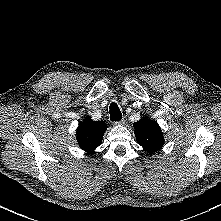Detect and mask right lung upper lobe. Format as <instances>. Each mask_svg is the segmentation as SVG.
I'll return each mask as SVG.
<instances>
[{"instance_id": "cb5924a9", "label": "right lung upper lobe", "mask_w": 221, "mask_h": 221, "mask_svg": "<svg viewBox=\"0 0 221 221\" xmlns=\"http://www.w3.org/2000/svg\"><path fill=\"white\" fill-rule=\"evenodd\" d=\"M107 129L102 121H93L86 117L77 128V141L81 149L87 153H94V150L101 145L104 132Z\"/></svg>"}]
</instances>
